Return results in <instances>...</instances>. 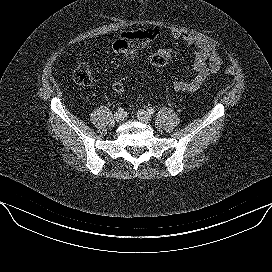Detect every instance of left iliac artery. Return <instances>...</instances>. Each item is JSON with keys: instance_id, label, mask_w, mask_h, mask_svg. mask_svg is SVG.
I'll return each instance as SVG.
<instances>
[{"instance_id": "44dca946", "label": "left iliac artery", "mask_w": 272, "mask_h": 272, "mask_svg": "<svg viewBox=\"0 0 272 272\" xmlns=\"http://www.w3.org/2000/svg\"><path fill=\"white\" fill-rule=\"evenodd\" d=\"M147 110H148L149 114H152V115L155 114L154 108L149 107Z\"/></svg>"}]
</instances>
